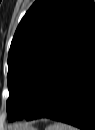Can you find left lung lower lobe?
<instances>
[{
  "mask_svg": "<svg viewBox=\"0 0 95 130\" xmlns=\"http://www.w3.org/2000/svg\"><path fill=\"white\" fill-rule=\"evenodd\" d=\"M26 120L50 118L95 129V15L51 69ZM24 118V117H23Z\"/></svg>",
  "mask_w": 95,
  "mask_h": 130,
  "instance_id": "left-lung-lower-lobe-1",
  "label": "left lung lower lobe"
}]
</instances>
